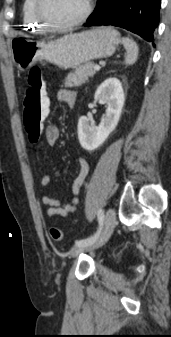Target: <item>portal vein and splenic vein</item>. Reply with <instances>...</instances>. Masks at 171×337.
<instances>
[{"instance_id":"obj_1","label":"portal vein and splenic vein","mask_w":171,"mask_h":337,"mask_svg":"<svg viewBox=\"0 0 171 337\" xmlns=\"http://www.w3.org/2000/svg\"><path fill=\"white\" fill-rule=\"evenodd\" d=\"M94 70H95V71L100 70V66H99V65H95V66H94Z\"/></svg>"}]
</instances>
